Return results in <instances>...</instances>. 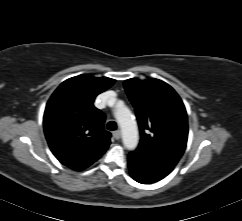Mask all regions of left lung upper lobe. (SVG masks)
Listing matches in <instances>:
<instances>
[{
    "mask_svg": "<svg viewBox=\"0 0 242 221\" xmlns=\"http://www.w3.org/2000/svg\"><path fill=\"white\" fill-rule=\"evenodd\" d=\"M124 87L141 133L136 150L176 165L188 137L187 113L181 98L170 85L155 78L128 79Z\"/></svg>",
    "mask_w": 242,
    "mask_h": 221,
    "instance_id": "1",
    "label": "left lung upper lobe"
}]
</instances>
